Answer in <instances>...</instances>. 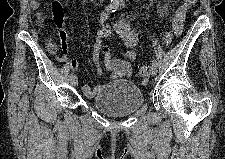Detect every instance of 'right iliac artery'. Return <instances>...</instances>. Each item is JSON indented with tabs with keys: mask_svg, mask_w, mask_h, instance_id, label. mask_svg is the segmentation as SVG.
I'll use <instances>...</instances> for the list:
<instances>
[{
	"mask_svg": "<svg viewBox=\"0 0 225 159\" xmlns=\"http://www.w3.org/2000/svg\"><path fill=\"white\" fill-rule=\"evenodd\" d=\"M114 9H115L114 7L109 6V7H107V8L104 10V12L102 13L101 18H100V23H101V24H103L104 21L108 18V16H109L112 12H114ZM71 76H73V74H70V75H69V78H70Z\"/></svg>",
	"mask_w": 225,
	"mask_h": 159,
	"instance_id": "right-iliac-artery-1",
	"label": "right iliac artery"
}]
</instances>
